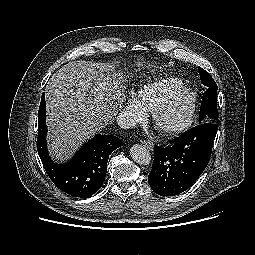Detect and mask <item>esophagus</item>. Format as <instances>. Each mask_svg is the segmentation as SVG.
Here are the masks:
<instances>
[{"instance_id":"1","label":"esophagus","mask_w":255,"mask_h":255,"mask_svg":"<svg viewBox=\"0 0 255 255\" xmlns=\"http://www.w3.org/2000/svg\"><path fill=\"white\" fill-rule=\"evenodd\" d=\"M141 143L147 148V149H149V150H153L154 149V144L152 143V142H150V141H145V140H143V141H141Z\"/></svg>"}]
</instances>
